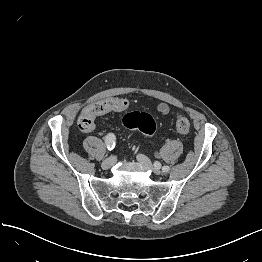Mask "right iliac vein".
Returning <instances> with one entry per match:
<instances>
[{"label": "right iliac vein", "instance_id": "63e3f726", "mask_svg": "<svg viewBox=\"0 0 262 262\" xmlns=\"http://www.w3.org/2000/svg\"><path fill=\"white\" fill-rule=\"evenodd\" d=\"M114 162H115V157H110L108 159H105L102 162L101 166L103 169L107 170L113 166Z\"/></svg>", "mask_w": 262, "mask_h": 262}]
</instances>
